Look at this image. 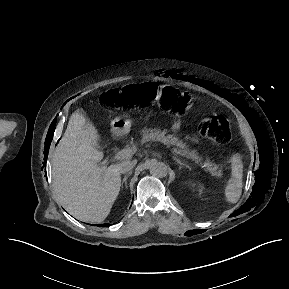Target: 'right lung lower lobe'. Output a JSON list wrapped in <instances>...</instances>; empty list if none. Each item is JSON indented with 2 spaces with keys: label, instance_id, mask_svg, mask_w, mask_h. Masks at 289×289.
Returning a JSON list of instances; mask_svg holds the SVG:
<instances>
[{
  "label": "right lung lower lobe",
  "instance_id": "obj_1",
  "mask_svg": "<svg viewBox=\"0 0 289 289\" xmlns=\"http://www.w3.org/2000/svg\"><path fill=\"white\" fill-rule=\"evenodd\" d=\"M104 225H110L109 223H107V224H104Z\"/></svg>",
  "mask_w": 289,
  "mask_h": 289
}]
</instances>
